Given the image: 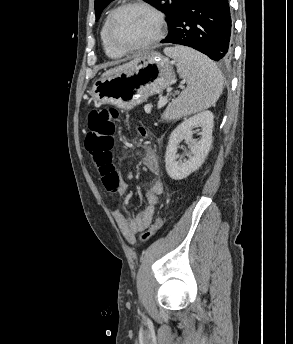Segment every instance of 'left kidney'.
I'll list each match as a JSON object with an SVG mask.
<instances>
[{
	"label": "left kidney",
	"instance_id": "1",
	"mask_svg": "<svg viewBox=\"0 0 293 344\" xmlns=\"http://www.w3.org/2000/svg\"><path fill=\"white\" fill-rule=\"evenodd\" d=\"M213 119L212 112L203 111L185 119L173 130L165 154L166 171L170 178L182 180L203 164L212 144ZM197 127H201V139L192 141V129ZM182 140L191 141L192 156L184 162L177 160V149Z\"/></svg>",
	"mask_w": 293,
	"mask_h": 344
}]
</instances>
